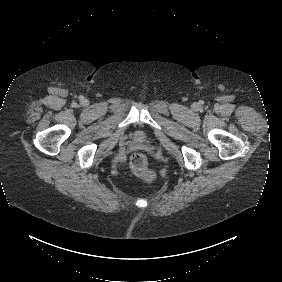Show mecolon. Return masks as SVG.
<instances>
[{"label": "colon", "instance_id": "colon-1", "mask_svg": "<svg viewBox=\"0 0 282 282\" xmlns=\"http://www.w3.org/2000/svg\"><path fill=\"white\" fill-rule=\"evenodd\" d=\"M150 166V158L144 152H137L131 158V167L136 171L139 177L149 181L153 178L154 174Z\"/></svg>", "mask_w": 282, "mask_h": 282}]
</instances>
